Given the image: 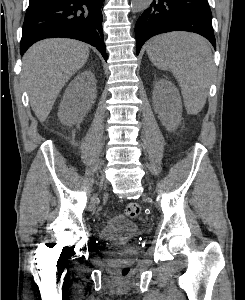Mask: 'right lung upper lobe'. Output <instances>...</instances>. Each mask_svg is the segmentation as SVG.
<instances>
[{
  "label": "right lung upper lobe",
  "mask_w": 245,
  "mask_h": 300,
  "mask_svg": "<svg viewBox=\"0 0 245 300\" xmlns=\"http://www.w3.org/2000/svg\"><path fill=\"white\" fill-rule=\"evenodd\" d=\"M36 1H39V0H29V3H33V2H36Z\"/></svg>",
  "instance_id": "right-lung-upper-lobe-1"
}]
</instances>
